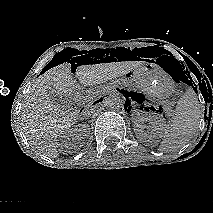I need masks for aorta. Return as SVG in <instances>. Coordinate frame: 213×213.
<instances>
[{"label":"aorta","instance_id":"762f6f07","mask_svg":"<svg viewBox=\"0 0 213 213\" xmlns=\"http://www.w3.org/2000/svg\"><path fill=\"white\" fill-rule=\"evenodd\" d=\"M105 103L113 111H118L123 107V99L119 94H111L106 98Z\"/></svg>","mask_w":213,"mask_h":213}]
</instances>
